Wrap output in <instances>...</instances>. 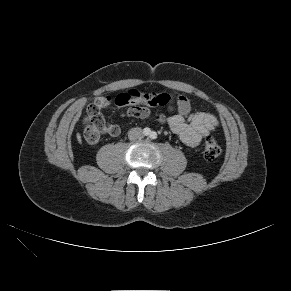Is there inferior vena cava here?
Instances as JSON below:
<instances>
[{
	"label": "inferior vena cava",
	"mask_w": 291,
	"mask_h": 291,
	"mask_svg": "<svg viewBox=\"0 0 291 291\" xmlns=\"http://www.w3.org/2000/svg\"><path fill=\"white\" fill-rule=\"evenodd\" d=\"M143 137V132L142 129L139 127H135L132 128L129 132H128V138L130 140H137Z\"/></svg>",
	"instance_id": "inferior-vena-cava-1"
}]
</instances>
